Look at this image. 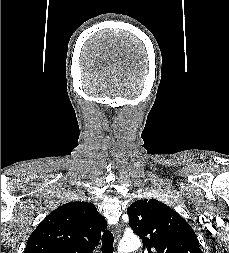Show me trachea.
Masks as SVG:
<instances>
[{
    "label": "trachea",
    "instance_id": "3493384b",
    "mask_svg": "<svg viewBox=\"0 0 229 253\" xmlns=\"http://www.w3.org/2000/svg\"><path fill=\"white\" fill-rule=\"evenodd\" d=\"M114 237L110 230H105L102 236V253H113Z\"/></svg>",
    "mask_w": 229,
    "mask_h": 253
}]
</instances>
